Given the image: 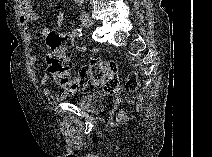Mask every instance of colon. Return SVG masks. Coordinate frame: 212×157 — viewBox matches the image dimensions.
Returning <instances> with one entry per match:
<instances>
[{
	"mask_svg": "<svg viewBox=\"0 0 212 157\" xmlns=\"http://www.w3.org/2000/svg\"><path fill=\"white\" fill-rule=\"evenodd\" d=\"M46 40L50 46V53L47 56L48 72L56 84L64 90L87 92L93 88H99L112 95L122 90L115 62L95 60L78 73H74L66 55L67 49L72 45V38L64 33H49ZM137 86V77L131 73L125 83V89L133 92ZM122 117L123 115L119 114L118 120Z\"/></svg>",
	"mask_w": 212,
	"mask_h": 157,
	"instance_id": "obj_1",
	"label": "colon"
}]
</instances>
